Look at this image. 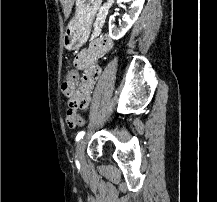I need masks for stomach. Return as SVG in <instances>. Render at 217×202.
I'll use <instances>...</instances> for the list:
<instances>
[{"label":"stomach","mask_w":217,"mask_h":202,"mask_svg":"<svg viewBox=\"0 0 217 202\" xmlns=\"http://www.w3.org/2000/svg\"><path fill=\"white\" fill-rule=\"evenodd\" d=\"M100 4L101 0H75V14L70 20L63 38L66 50H79L86 44Z\"/></svg>","instance_id":"obj_1"}]
</instances>
